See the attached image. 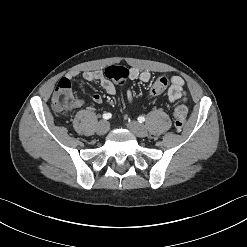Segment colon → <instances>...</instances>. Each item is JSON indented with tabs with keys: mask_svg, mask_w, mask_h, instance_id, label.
<instances>
[{
	"mask_svg": "<svg viewBox=\"0 0 247 247\" xmlns=\"http://www.w3.org/2000/svg\"><path fill=\"white\" fill-rule=\"evenodd\" d=\"M104 76L110 81L123 84L129 77V70L123 66H110L104 70ZM168 85L166 77L158 78L151 88L152 95L161 94ZM74 96L71 92L70 85L66 82H59L52 97L53 107L60 112L73 108ZM187 107L183 103L176 105L174 109V125L180 131L186 122Z\"/></svg>",
	"mask_w": 247,
	"mask_h": 247,
	"instance_id": "1",
	"label": "colon"
}]
</instances>
